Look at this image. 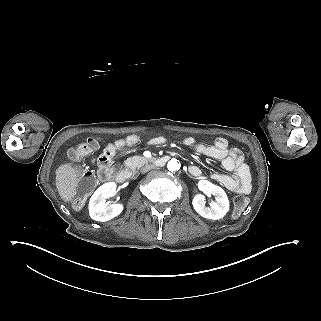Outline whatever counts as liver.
I'll list each match as a JSON object with an SVG mask.
<instances>
[{
    "label": "liver",
    "instance_id": "6515ba94",
    "mask_svg": "<svg viewBox=\"0 0 321 321\" xmlns=\"http://www.w3.org/2000/svg\"><path fill=\"white\" fill-rule=\"evenodd\" d=\"M79 172L70 164L60 165L56 170V187L64 201H71L77 194Z\"/></svg>",
    "mask_w": 321,
    "mask_h": 321
}]
</instances>
